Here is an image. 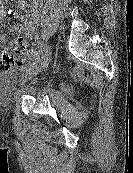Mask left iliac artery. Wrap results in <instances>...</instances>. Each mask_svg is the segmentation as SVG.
Returning <instances> with one entry per match:
<instances>
[{"label": "left iliac artery", "instance_id": "left-iliac-artery-1", "mask_svg": "<svg viewBox=\"0 0 133 173\" xmlns=\"http://www.w3.org/2000/svg\"><path fill=\"white\" fill-rule=\"evenodd\" d=\"M50 53H51L50 47L47 46V45H45L44 48H43V55H42V57H44V56H46V55H48V54H50ZM36 55H37L36 60L33 61L32 63L28 64L27 66H25V67L23 68V71H26L27 69H29L30 67H32V66H34V65L36 64V61L40 59V58L38 57V54H37V53H36Z\"/></svg>", "mask_w": 133, "mask_h": 173}]
</instances>
